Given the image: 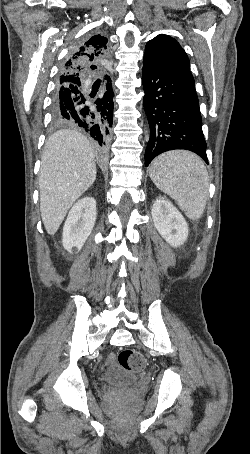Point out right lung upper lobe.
<instances>
[{
  "instance_id": "right-lung-upper-lobe-1",
  "label": "right lung upper lobe",
  "mask_w": 250,
  "mask_h": 454,
  "mask_svg": "<svg viewBox=\"0 0 250 454\" xmlns=\"http://www.w3.org/2000/svg\"><path fill=\"white\" fill-rule=\"evenodd\" d=\"M107 42V38L98 34L77 47L62 66L58 88L79 85L86 75L103 71L102 63L109 59Z\"/></svg>"
}]
</instances>
